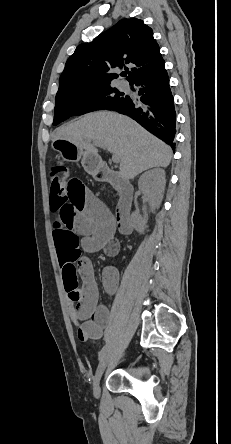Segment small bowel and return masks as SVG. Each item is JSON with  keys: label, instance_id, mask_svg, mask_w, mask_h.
Returning a JSON list of instances; mask_svg holds the SVG:
<instances>
[{"label": "small bowel", "instance_id": "c3829d8e", "mask_svg": "<svg viewBox=\"0 0 231 444\" xmlns=\"http://www.w3.org/2000/svg\"><path fill=\"white\" fill-rule=\"evenodd\" d=\"M50 207L56 215L52 233L68 296V314L81 342L98 341L111 321V313L99 303L94 268L91 261L82 256V251L103 250L109 257L118 254L120 245L114 238L112 215L77 178L71 179L67 197L51 198ZM102 283L106 293L114 295L119 286L118 270L113 266L105 267Z\"/></svg>", "mask_w": 231, "mask_h": 444}]
</instances>
